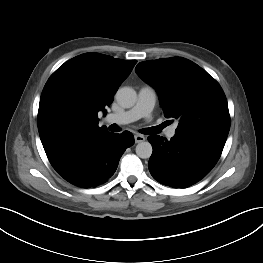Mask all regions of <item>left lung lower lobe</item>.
<instances>
[{
  "label": "left lung lower lobe",
  "instance_id": "obj_1",
  "mask_svg": "<svg viewBox=\"0 0 263 263\" xmlns=\"http://www.w3.org/2000/svg\"><path fill=\"white\" fill-rule=\"evenodd\" d=\"M227 137L175 131L171 140L149 136L153 153L148 167L159 183L187 188L204 178L217 163Z\"/></svg>",
  "mask_w": 263,
  "mask_h": 263
}]
</instances>
